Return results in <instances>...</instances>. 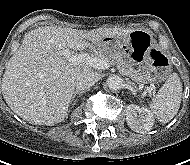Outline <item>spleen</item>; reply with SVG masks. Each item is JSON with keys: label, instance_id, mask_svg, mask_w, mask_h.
<instances>
[{"label": "spleen", "instance_id": "spleen-1", "mask_svg": "<svg viewBox=\"0 0 190 165\" xmlns=\"http://www.w3.org/2000/svg\"><path fill=\"white\" fill-rule=\"evenodd\" d=\"M181 97L182 84L178 75L173 73L150 103V110L161 123H168L177 114Z\"/></svg>", "mask_w": 190, "mask_h": 165}]
</instances>
